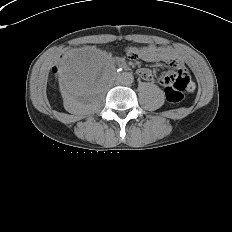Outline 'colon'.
I'll list each match as a JSON object with an SVG mask.
<instances>
[{
    "instance_id": "colon-1",
    "label": "colon",
    "mask_w": 232,
    "mask_h": 232,
    "mask_svg": "<svg viewBox=\"0 0 232 232\" xmlns=\"http://www.w3.org/2000/svg\"><path fill=\"white\" fill-rule=\"evenodd\" d=\"M136 54H132L131 58H136ZM56 67L53 71H56ZM166 98L171 103H178L183 99V91L189 86V77L186 75L169 74L163 78Z\"/></svg>"
}]
</instances>
